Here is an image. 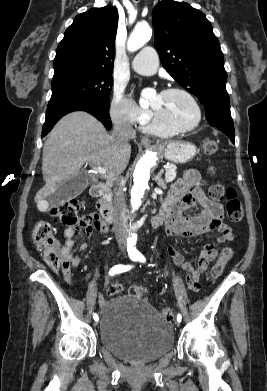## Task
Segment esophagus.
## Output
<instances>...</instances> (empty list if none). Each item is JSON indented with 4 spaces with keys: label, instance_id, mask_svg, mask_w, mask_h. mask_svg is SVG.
Listing matches in <instances>:
<instances>
[{
    "label": "esophagus",
    "instance_id": "obj_1",
    "mask_svg": "<svg viewBox=\"0 0 267 391\" xmlns=\"http://www.w3.org/2000/svg\"><path fill=\"white\" fill-rule=\"evenodd\" d=\"M141 144L144 145V146H150L151 145V140L149 137L147 136H143L141 138Z\"/></svg>",
    "mask_w": 267,
    "mask_h": 391
}]
</instances>
